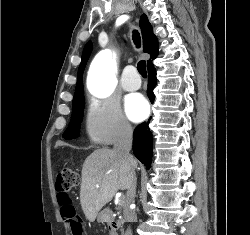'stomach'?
I'll return each instance as SVG.
<instances>
[{
  "mask_svg": "<svg viewBox=\"0 0 250 235\" xmlns=\"http://www.w3.org/2000/svg\"><path fill=\"white\" fill-rule=\"evenodd\" d=\"M108 219V214L105 211H101L98 215V221L104 222Z\"/></svg>",
  "mask_w": 250,
  "mask_h": 235,
  "instance_id": "obj_1",
  "label": "stomach"
}]
</instances>
